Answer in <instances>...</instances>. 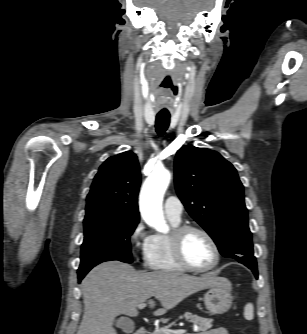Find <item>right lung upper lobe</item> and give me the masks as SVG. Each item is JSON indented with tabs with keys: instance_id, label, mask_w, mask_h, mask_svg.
<instances>
[{
	"instance_id": "obj_1",
	"label": "right lung upper lobe",
	"mask_w": 307,
	"mask_h": 334,
	"mask_svg": "<svg viewBox=\"0 0 307 334\" xmlns=\"http://www.w3.org/2000/svg\"><path fill=\"white\" fill-rule=\"evenodd\" d=\"M140 181L139 164L133 152L108 158L100 166L87 196L85 219L139 222L137 197Z\"/></svg>"
}]
</instances>
